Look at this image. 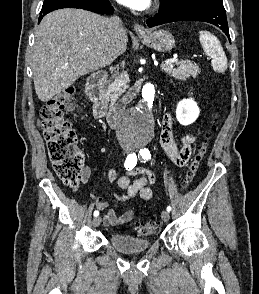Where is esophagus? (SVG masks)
Returning a JSON list of instances; mask_svg holds the SVG:
<instances>
[{
  "instance_id": "esophagus-1",
  "label": "esophagus",
  "mask_w": 259,
  "mask_h": 294,
  "mask_svg": "<svg viewBox=\"0 0 259 294\" xmlns=\"http://www.w3.org/2000/svg\"><path fill=\"white\" fill-rule=\"evenodd\" d=\"M133 30L138 34V35H144L146 33V29L143 25L135 23L133 26Z\"/></svg>"
}]
</instances>
